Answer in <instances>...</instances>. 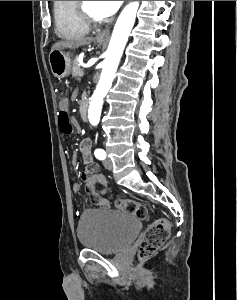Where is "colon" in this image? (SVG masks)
I'll return each instance as SVG.
<instances>
[{
  "mask_svg": "<svg viewBox=\"0 0 237 300\" xmlns=\"http://www.w3.org/2000/svg\"><path fill=\"white\" fill-rule=\"evenodd\" d=\"M59 129L63 134L70 135L73 133V125L70 121L67 109L60 108L58 115ZM87 181V186L90 190H94L97 186H104L106 180L101 175L93 174L88 171L84 174ZM116 207L128 214L137 217L140 220L147 218L146 207L134 200L119 199L116 202ZM170 234V223L167 219L161 218L148 226L139 243L138 256L141 259H146L154 255L167 241Z\"/></svg>",
  "mask_w": 237,
  "mask_h": 300,
  "instance_id": "5ec220e1",
  "label": "colon"
}]
</instances>
